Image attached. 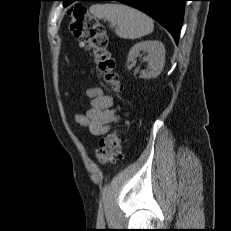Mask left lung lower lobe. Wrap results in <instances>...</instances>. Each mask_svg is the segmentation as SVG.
I'll list each match as a JSON object with an SVG mask.
<instances>
[{
    "instance_id": "0a47b994",
    "label": "left lung lower lobe",
    "mask_w": 231,
    "mask_h": 231,
    "mask_svg": "<svg viewBox=\"0 0 231 231\" xmlns=\"http://www.w3.org/2000/svg\"><path fill=\"white\" fill-rule=\"evenodd\" d=\"M74 1H119L130 5L158 21L170 32L177 44L187 0H64V6Z\"/></svg>"
}]
</instances>
